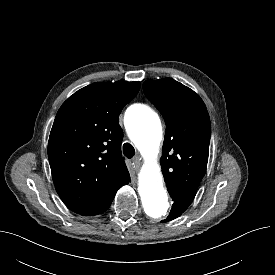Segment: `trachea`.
<instances>
[{"instance_id": "3493384b", "label": "trachea", "mask_w": 275, "mask_h": 275, "mask_svg": "<svg viewBox=\"0 0 275 275\" xmlns=\"http://www.w3.org/2000/svg\"><path fill=\"white\" fill-rule=\"evenodd\" d=\"M123 153L127 158H131L135 155V149L131 144L125 143L123 145Z\"/></svg>"}]
</instances>
